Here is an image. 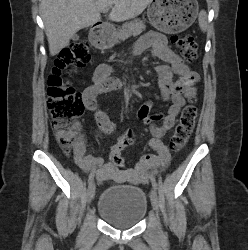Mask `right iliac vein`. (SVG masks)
Here are the masks:
<instances>
[{"mask_svg": "<svg viewBox=\"0 0 248 250\" xmlns=\"http://www.w3.org/2000/svg\"><path fill=\"white\" fill-rule=\"evenodd\" d=\"M95 195V184L91 182L87 189V202L90 203Z\"/></svg>", "mask_w": 248, "mask_h": 250, "instance_id": "63e3f726", "label": "right iliac vein"}]
</instances>
